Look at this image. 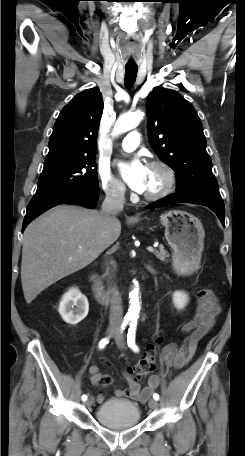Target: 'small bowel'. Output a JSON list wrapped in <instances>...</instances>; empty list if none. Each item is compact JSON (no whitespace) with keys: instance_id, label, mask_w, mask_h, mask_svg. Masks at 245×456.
<instances>
[{"instance_id":"obj_1","label":"small bowel","mask_w":245,"mask_h":456,"mask_svg":"<svg viewBox=\"0 0 245 456\" xmlns=\"http://www.w3.org/2000/svg\"><path fill=\"white\" fill-rule=\"evenodd\" d=\"M221 312V307L215 294L209 289L199 291L196 299L195 318L185 323L182 327L186 335L183 343L177 345L170 343L163 348L162 358L165 367L182 368L194 356L199 341L212 329L216 317ZM91 381L97 386H109L113 383L110 375L101 374L96 366L90 368ZM124 378L128 383L127 389H115L117 397H129L130 399L144 403L159 384L156 375L148 379L147 385L141 387L138 381L130 374L124 373ZM107 397L105 392H100L96 400L101 403Z\"/></svg>"}]
</instances>
